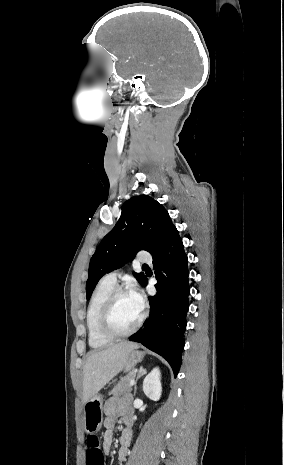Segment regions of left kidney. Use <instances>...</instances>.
<instances>
[{
    "label": "left kidney",
    "mask_w": 284,
    "mask_h": 465,
    "mask_svg": "<svg viewBox=\"0 0 284 465\" xmlns=\"http://www.w3.org/2000/svg\"><path fill=\"white\" fill-rule=\"evenodd\" d=\"M161 373L159 369H153L143 381V391L146 397H149L151 401H159L161 397V383H160Z\"/></svg>",
    "instance_id": "obj_1"
}]
</instances>
